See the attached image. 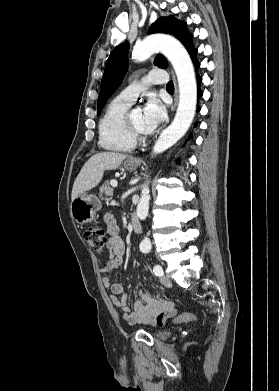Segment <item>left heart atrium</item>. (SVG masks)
I'll list each match as a JSON object with an SVG mask.
<instances>
[{"label": "left heart atrium", "instance_id": "left-heart-atrium-1", "mask_svg": "<svg viewBox=\"0 0 279 391\" xmlns=\"http://www.w3.org/2000/svg\"><path fill=\"white\" fill-rule=\"evenodd\" d=\"M142 114L144 128L147 133H152L165 119V109L154 96L148 98Z\"/></svg>", "mask_w": 279, "mask_h": 391}]
</instances>
